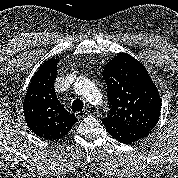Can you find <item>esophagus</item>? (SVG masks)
I'll return each mask as SVG.
<instances>
[{
  "instance_id": "obj_1",
  "label": "esophagus",
  "mask_w": 178,
  "mask_h": 178,
  "mask_svg": "<svg viewBox=\"0 0 178 178\" xmlns=\"http://www.w3.org/2000/svg\"><path fill=\"white\" fill-rule=\"evenodd\" d=\"M87 114H89V110L85 109L83 111L76 112L75 116H76V118L80 119V118L86 116Z\"/></svg>"
}]
</instances>
